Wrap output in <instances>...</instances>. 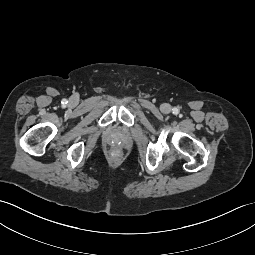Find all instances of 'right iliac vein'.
<instances>
[{
    "mask_svg": "<svg viewBox=\"0 0 255 255\" xmlns=\"http://www.w3.org/2000/svg\"><path fill=\"white\" fill-rule=\"evenodd\" d=\"M74 102H76V99H72V100H71V103H74Z\"/></svg>",
    "mask_w": 255,
    "mask_h": 255,
    "instance_id": "obj_1",
    "label": "right iliac vein"
}]
</instances>
